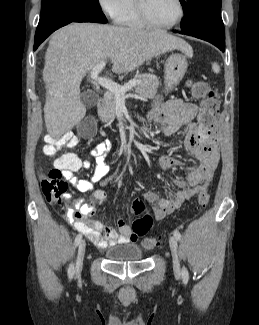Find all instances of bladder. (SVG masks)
Wrapping results in <instances>:
<instances>
[{
	"label": "bladder",
	"mask_w": 259,
	"mask_h": 325,
	"mask_svg": "<svg viewBox=\"0 0 259 325\" xmlns=\"http://www.w3.org/2000/svg\"><path fill=\"white\" fill-rule=\"evenodd\" d=\"M105 257L112 262L138 261L143 258V251L136 244H118L106 249Z\"/></svg>",
	"instance_id": "obj_1"
}]
</instances>
